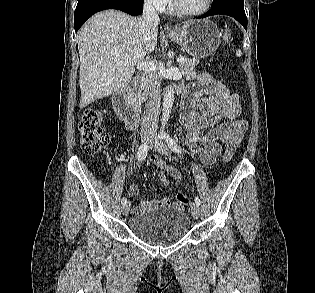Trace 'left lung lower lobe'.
I'll use <instances>...</instances> for the list:
<instances>
[{
	"label": "left lung lower lobe",
	"mask_w": 315,
	"mask_h": 293,
	"mask_svg": "<svg viewBox=\"0 0 315 293\" xmlns=\"http://www.w3.org/2000/svg\"><path fill=\"white\" fill-rule=\"evenodd\" d=\"M216 14L229 15L235 18L247 30V18L244 10V5L233 3L223 4L212 8L207 13L196 18H205Z\"/></svg>",
	"instance_id": "obj_1"
}]
</instances>
